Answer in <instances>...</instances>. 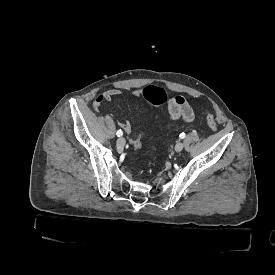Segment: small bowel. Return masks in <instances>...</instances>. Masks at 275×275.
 <instances>
[{"instance_id": "c3829d8e", "label": "small bowel", "mask_w": 275, "mask_h": 275, "mask_svg": "<svg viewBox=\"0 0 275 275\" xmlns=\"http://www.w3.org/2000/svg\"><path fill=\"white\" fill-rule=\"evenodd\" d=\"M122 91L120 89L111 88L103 93L99 94L92 103L93 110L97 113L100 111L104 103L113 100L114 98L120 96ZM132 95L135 98H140L142 96L141 90H134ZM168 113L172 120H183L184 122H191L194 119L193 108L187 98L184 96H175L168 101L167 104ZM120 127L128 134H132V125L128 120H120ZM135 138H140L141 134L133 135Z\"/></svg>"}]
</instances>
